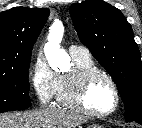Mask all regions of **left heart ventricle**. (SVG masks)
I'll list each match as a JSON object with an SVG mask.
<instances>
[{"instance_id":"b2bd125f","label":"left heart ventricle","mask_w":142,"mask_h":128,"mask_svg":"<svg viewBox=\"0 0 142 128\" xmlns=\"http://www.w3.org/2000/svg\"><path fill=\"white\" fill-rule=\"evenodd\" d=\"M86 103L98 112L111 110L115 104V96L108 81L101 77L95 79L87 91Z\"/></svg>"}]
</instances>
